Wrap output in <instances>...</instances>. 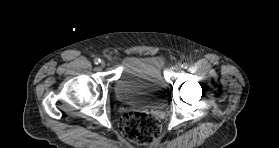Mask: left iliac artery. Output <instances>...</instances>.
Listing matches in <instances>:
<instances>
[{"mask_svg":"<svg viewBox=\"0 0 279 148\" xmlns=\"http://www.w3.org/2000/svg\"><path fill=\"white\" fill-rule=\"evenodd\" d=\"M182 68L187 69L188 68V64L187 63H183L182 64Z\"/></svg>","mask_w":279,"mask_h":148,"instance_id":"left-iliac-artery-1","label":"left iliac artery"}]
</instances>
